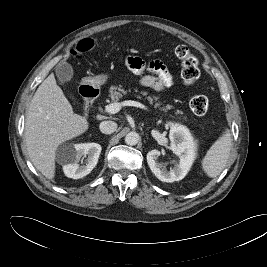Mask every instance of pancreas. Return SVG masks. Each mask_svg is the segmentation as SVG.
<instances>
[{
  "label": "pancreas",
  "instance_id": "pancreas-1",
  "mask_svg": "<svg viewBox=\"0 0 267 267\" xmlns=\"http://www.w3.org/2000/svg\"><path fill=\"white\" fill-rule=\"evenodd\" d=\"M109 92H110V98L114 102H118L120 100V98L123 97V95L127 94V91H125L121 86H111ZM141 93L144 96L147 95V92H141ZM153 99L157 100L158 97H156V96H154V97H150L149 96L148 97V100H149L150 103H152ZM159 105H160V103H156V106H159ZM171 108H172V106L167 105V106H165V108H162V110L167 111V110H169ZM175 114L176 115L182 114V112L181 111H177V112H175ZM186 118L187 117L185 116L184 119H186Z\"/></svg>",
  "mask_w": 267,
  "mask_h": 267
}]
</instances>
